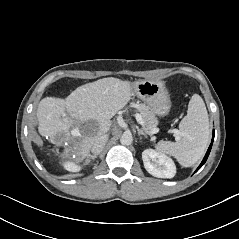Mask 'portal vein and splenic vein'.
I'll use <instances>...</instances> for the list:
<instances>
[{"mask_svg": "<svg viewBox=\"0 0 239 239\" xmlns=\"http://www.w3.org/2000/svg\"><path fill=\"white\" fill-rule=\"evenodd\" d=\"M137 122L145 129V122L140 114H135L134 115ZM146 130V129H145ZM148 134L153 135L156 134L159 130L157 128H154L150 131L146 130ZM174 136L178 138L179 131L178 130H173Z\"/></svg>", "mask_w": 239, "mask_h": 239, "instance_id": "portal-vein-and-splenic-vein-1", "label": "portal vein and splenic vein"}]
</instances>
